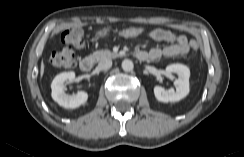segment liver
<instances>
[{"instance_id": "liver-1", "label": "liver", "mask_w": 244, "mask_h": 157, "mask_svg": "<svg viewBox=\"0 0 244 157\" xmlns=\"http://www.w3.org/2000/svg\"><path fill=\"white\" fill-rule=\"evenodd\" d=\"M44 63L42 62L41 63V68H40V76L42 77L43 76V74H44Z\"/></svg>"}]
</instances>
